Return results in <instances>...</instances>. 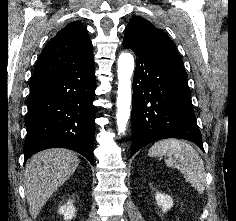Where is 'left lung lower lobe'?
Returning a JSON list of instances; mask_svg holds the SVG:
<instances>
[{
  "instance_id": "left-lung-lower-lobe-1",
  "label": "left lung lower lobe",
  "mask_w": 236,
  "mask_h": 221,
  "mask_svg": "<svg viewBox=\"0 0 236 221\" xmlns=\"http://www.w3.org/2000/svg\"><path fill=\"white\" fill-rule=\"evenodd\" d=\"M123 46L137 56L131 156L149 143L165 138L186 139L203 150L183 65L129 39L123 40Z\"/></svg>"
}]
</instances>
